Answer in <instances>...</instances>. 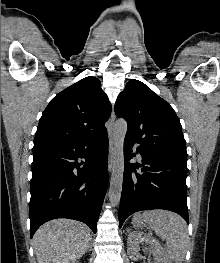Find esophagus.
Instances as JSON below:
<instances>
[{
	"instance_id": "esophagus-1",
	"label": "esophagus",
	"mask_w": 220,
	"mask_h": 263,
	"mask_svg": "<svg viewBox=\"0 0 220 263\" xmlns=\"http://www.w3.org/2000/svg\"><path fill=\"white\" fill-rule=\"evenodd\" d=\"M114 120H115V115L113 113L110 119L111 127L114 123ZM113 163H114V141H113L112 131L110 130L109 156H108V169L110 172L112 170Z\"/></svg>"
}]
</instances>
